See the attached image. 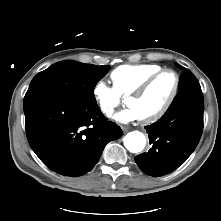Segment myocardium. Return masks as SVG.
Masks as SVG:
<instances>
[{
  "label": "myocardium",
  "instance_id": "1",
  "mask_svg": "<svg viewBox=\"0 0 221 221\" xmlns=\"http://www.w3.org/2000/svg\"><path fill=\"white\" fill-rule=\"evenodd\" d=\"M171 73L174 76V86L172 89V92L167 100V102L164 104V106L158 110L156 113H154L153 115L146 117V118H141V121L145 124H150V123H154L158 120H160L162 117H164L167 112L170 110L171 106L173 105L178 92H179V88H180V76L179 74L171 68H164L161 69L157 72H155L154 74H152L151 76H149L137 89H135L133 92H131L128 95V99L132 98V97H140L142 95H144L147 90L150 88V86L152 85V83L162 74L164 73Z\"/></svg>",
  "mask_w": 221,
  "mask_h": 221
}]
</instances>
